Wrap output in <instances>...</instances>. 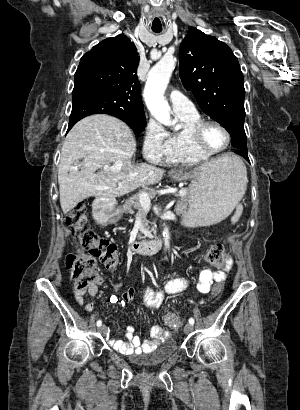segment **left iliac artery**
Returning a JSON list of instances; mask_svg holds the SVG:
<instances>
[{"label": "left iliac artery", "instance_id": "44dca946", "mask_svg": "<svg viewBox=\"0 0 300 410\" xmlns=\"http://www.w3.org/2000/svg\"><path fill=\"white\" fill-rule=\"evenodd\" d=\"M189 323L193 325V324H194V319H193V318H190V319H189Z\"/></svg>", "mask_w": 300, "mask_h": 410}]
</instances>
